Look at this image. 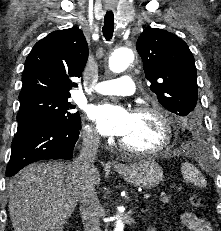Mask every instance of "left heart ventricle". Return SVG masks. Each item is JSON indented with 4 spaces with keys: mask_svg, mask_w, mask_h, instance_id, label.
<instances>
[{
    "mask_svg": "<svg viewBox=\"0 0 221 231\" xmlns=\"http://www.w3.org/2000/svg\"><path fill=\"white\" fill-rule=\"evenodd\" d=\"M163 136V127L154 115L132 114L130 129L122 140L134 148L150 149L160 145Z\"/></svg>",
    "mask_w": 221,
    "mask_h": 231,
    "instance_id": "obj_1",
    "label": "left heart ventricle"
}]
</instances>
